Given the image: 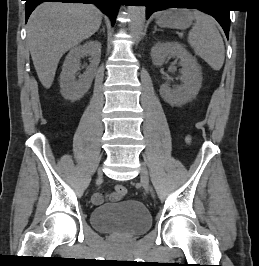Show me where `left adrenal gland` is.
Here are the masks:
<instances>
[{
    "label": "left adrenal gland",
    "instance_id": "a2214340",
    "mask_svg": "<svg viewBox=\"0 0 259 266\" xmlns=\"http://www.w3.org/2000/svg\"><path fill=\"white\" fill-rule=\"evenodd\" d=\"M156 31H160V30L157 29V27L155 26V27H154V31H153V33H155Z\"/></svg>",
    "mask_w": 259,
    "mask_h": 266
}]
</instances>
